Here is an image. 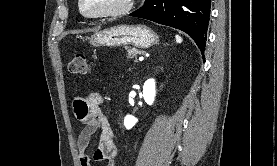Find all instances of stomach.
<instances>
[{
	"label": "stomach",
	"mask_w": 277,
	"mask_h": 166,
	"mask_svg": "<svg viewBox=\"0 0 277 166\" xmlns=\"http://www.w3.org/2000/svg\"><path fill=\"white\" fill-rule=\"evenodd\" d=\"M159 42L158 35L145 25H117L96 32L90 38L93 46H124L149 48Z\"/></svg>",
	"instance_id": "stomach-1"
}]
</instances>
